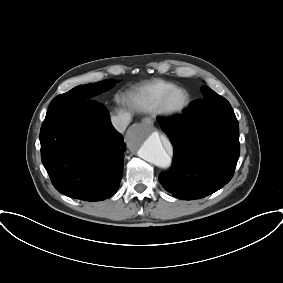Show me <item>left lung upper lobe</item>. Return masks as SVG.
Segmentation results:
<instances>
[{
	"label": "left lung upper lobe",
	"instance_id": "left-lung-upper-lobe-1",
	"mask_svg": "<svg viewBox=\"0 0 283 283\" xmlns=\"http://www.w3.org/2000/svg\"><path fill=\"white\" fill-rule=\"evenodd\" d=\"M201 91H202V94L203 96L206 98V97H210L214 91L211 90L209 87L207 86H203L201 88ZM226 128L227 130H230V131H236V132H239V125H238V121L236 119V116L235 114L233 115L230 123L228 125H226Z\"/></svg>",
	"mask_w": 283,
	"mask_h": 283
}]
</instances>
